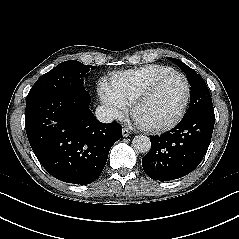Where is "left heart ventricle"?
I'll use <instances>...</instances> for the list:
<instances>
[{
	"label": "left heart ventricle",
	"instance_id": "left-heart-ventricle-1",
	"mask_svg": "<svg viewBox=\"0 0 239 239\" xmlns=\"http://www.w3.org/2000/svg\"><path fill=\"white\" fill-rule=\"evenodd\" d=\"M185 84L181 77L173 75L164 79L136 112V119L144 125L168 122L179 112L184 97Z\"/></svg>",
	"mask_w": 239,
	"mask_h": 239
}]
</instances>
